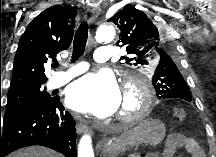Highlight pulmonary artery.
I'll return each mask as SVG.
<instances>
[{
	"instance_id": "1",
	"label": "pulmonary artery",
	"mask_w": 216,
	"mask_h": 157,
	"mask_svg": "<svg viewBox=\"0 0 216 157\" xmlns=\"http://www.w3.org/2000/svg\"><path fill=\"white\" fill-rule=\"evenodd\" d=\"M111 56L112 52L108 46H101L97 48L93 55L97 62H108ZM87 69L88 65L86 63L70 64L66 71L53 75L48 83V86L50 88L60 87L69 82L74 77L84 73Z\"/></svg>"
}]
</instances>
